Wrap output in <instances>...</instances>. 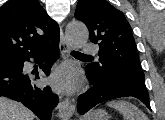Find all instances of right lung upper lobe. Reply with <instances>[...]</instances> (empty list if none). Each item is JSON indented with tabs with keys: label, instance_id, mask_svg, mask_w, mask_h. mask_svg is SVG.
I'll use <instances>...</instances> for the list:
<instances>
[{
	"label": "right lung upper lobe",
	"instance_id": "1",
	"mask_svg": "<svg viewBox=\"0 0 165 120\" xmlns=\"http://www.w3.org/2000/svg\"><path fill=\"white\" fill-rule=\"evenodd\" d=\"M59 36L57 23L37 0H9L0 7V64L36 53Z\"/></svg>",
	"mask_w": 165,
	"mask_h": 120
}]
</instances>
